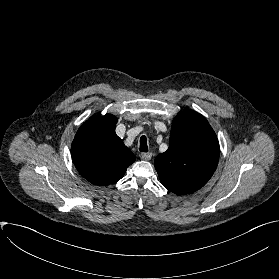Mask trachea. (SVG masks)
Instances as JSON below:
<instances>
[{
  "label": "trachea",
  "instance_id": "3493384b",
  "mask_svg": "<svg viewBox=\"0 0 279 279\" xmlns=\"http://www.w3.org/2000/svg\"><path fill=\"white\" fill-rule=\"evenodd\" d=\"M139 150L141 152H148V146H147V138L146 136H141L140 138V148Z\"/></svg>",
  "mask_w": 279,
  "mask_h": 279
}]
</instances>
